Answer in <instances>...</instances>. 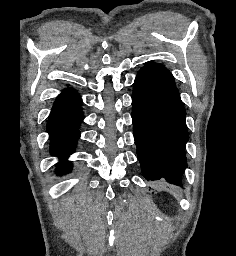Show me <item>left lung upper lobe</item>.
I'll return each mask as SVG.
<instances>
[{"label":"left lung upper lobe","mask_w":236,"mask_h":256,"mask_svg":"<svg viewBox=\"0 0 236 256\" xmlns=\"http://www.w3.org/2000/svg\"><path fill=\"white\" fill-rule=\"evenodd\" d=\"M145 65H146V67H144V68L150 69V70L154 71L155 73L163 76L164 78L170 80L171 82H174V78H173L172 74L163 65L156 64L154 62H146Z\"/></svg>","instance_id":"5c2ea615"}]
</instances>
